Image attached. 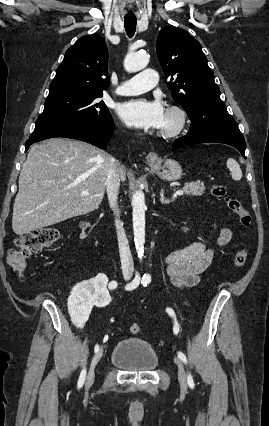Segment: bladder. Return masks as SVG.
<instances>
[{"label":"bladder","mask_w":269,"mask_h":426,"mask_svg":"<svg viewBox=\"0 0 269 426\" xmlns=\"http://www.w3.org/2000/svg\"><path fill=\"white\" fill-rule=\"evenodd\" d=\"M110 361L121 371L131 373L153 372L159 365L154 348L139 338L120 340L112 350Z\"/></svg>","instance_id":"bladder-1"}]
</instances>
